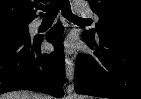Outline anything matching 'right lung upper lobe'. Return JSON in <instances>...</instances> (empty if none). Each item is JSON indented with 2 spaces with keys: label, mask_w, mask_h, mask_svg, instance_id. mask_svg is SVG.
<instances>
[{
  "label": "right lung upper lobe",
  "mask_w": 141,
  "mask_h": 99,
  "mask_svg": "<svg viewBox=\"0 0 141 99\" xmlns=\"http://www.w3.org/2000/svg\"><path fill=\"white\" fill-rule=\"evenodd\" d=\"M44 2V0H41ZM39 0H0V22L32 21L36 15L35 7Z\"/></svg>",
  "instance_id": "obj_1"
}]
</instances>
